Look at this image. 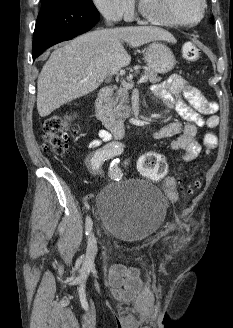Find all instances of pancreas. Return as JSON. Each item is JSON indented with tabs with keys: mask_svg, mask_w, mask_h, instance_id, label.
I'll return each mask as SVG.
<instances>
[{
	"mask_svg": "<svg viewBox=\"0 0 233 328\" xmlns=\"http://www.w3.org/2000/svg\"><path fill=\"white\" fill-rule=\"evenodd\" d=\"M142 68L144 69L143 76L147 77L149 82L157 83L161 81V77H159L152 69L149 67ZM108 110L110 111L111 116L116 119H122L128 115L130 109L127 85L122 84L114 96L110 98L108 102Z\"/></svg>",
	"mask_w": 233,
	"mask_h": 328,
	"instance_id": "pancreas-1",
	"label": "pancreas"
}]
</instances>
